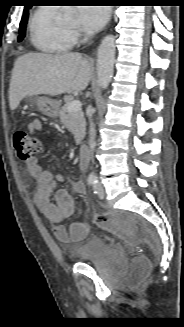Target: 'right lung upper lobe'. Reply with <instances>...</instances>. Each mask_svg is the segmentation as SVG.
Segmentation results:
<instances>
[{"label": "right lung upper lobe", "mask_w": 184, "mask_h": 327, "mask_svg": "<svg viewBox=\"0 0 184 327\" xmlns=\"http://www.w3.org/2000/svg\"><path fill=\"white\" fill-rule=\"evenodd\" d=\"M27 12H28V9H27V6H25L24 13H27Z\"/></svg>", "instance_id": "obj_1"}]
</instances>
